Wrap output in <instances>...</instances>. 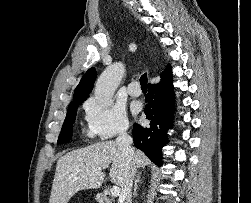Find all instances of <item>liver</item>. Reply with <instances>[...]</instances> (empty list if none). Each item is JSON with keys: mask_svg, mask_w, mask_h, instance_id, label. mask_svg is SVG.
<instances>
[{"mask_svg": "<svg viewBox=\"0 0 251 203\" xmlns=\"http://www.w3.org/2000/svg\"><path fill=\"white\" fill-rule=\"evenodd\" d=\"M133 162L137 169L145 168L150 161L136 150ZM110 165L111 181L122 188L127 168L116 142H101L68 152L57 161L49 203H68L80 190L100 188L105 174L98 169Z\"/></svg>", "mask_w": 251, "mask_h": 203, "instance_id": "obj_1", "label": "liver"}]
</instances>
